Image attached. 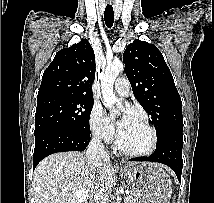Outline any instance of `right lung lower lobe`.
<instances>
[{
    "label": "right lung lower lobe",
    "mask_w": 214,
    "mask_h": 203,
    "mask_svg": "<svg viewBox=\"0 0 214 203\" xmlns=\"http://www.w3.org/2000/svg\"><path fill=\"white\" fill-rule=\"evenodd\" d=\"M90 141V135L74 131L48 128L35 135V149L33 155V170L46 156L65 151H83Z\"/></svg>",
    "instance_id": "98d812e1"
}]
</instances>
